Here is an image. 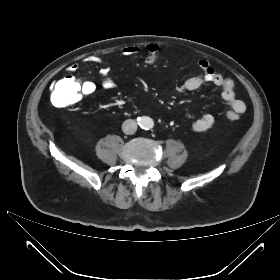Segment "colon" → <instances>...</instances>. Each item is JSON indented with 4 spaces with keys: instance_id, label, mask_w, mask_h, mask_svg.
Returning a JSON list of instances; mask_svg holds the SVG:
<instances>
[{
    "instance_id": "5ec220e1",
    "label": "colon",
    "mask_w": 280,
    "mask_h": 280,
    "mask_svg": "<svg viewBox=\"0 0 280 280\" xmlns=\"http://www.w3.org/2000/svg\"><path fill=\"white\" fill-rule=\"evenodd\" d=\"M81 84L71 76L65 75L57 79L51 90V103L55 107H67L76 104L81 99ZM231 120L238 119V116L233 114L229 117Z\"/></svg>"
}]
</instances>
